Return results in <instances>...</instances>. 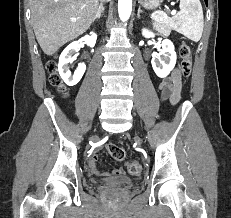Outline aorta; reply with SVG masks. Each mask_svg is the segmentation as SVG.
Masks as SVG:
<instances>
[{
	"label": "aorta",
	"mask_w": 231,
	"mask_h": 218,
	"mask_svg": "<svg viewBox=\"0 0 231 218\" xmlns=\"http://www.w3.org/2000/svg\"><path fill=\"white\" fill-rule=\"evenodd\" d=\"M132 11V0H118V13L122 21H127Z\"/></svg>",
	"instance_id": "obj_1"
}]
</instances>
